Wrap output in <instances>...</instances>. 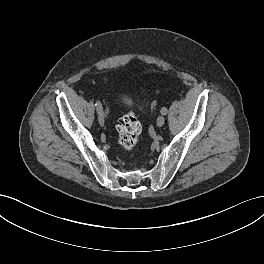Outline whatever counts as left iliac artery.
<instances>
[{
    "mask_svg": "<svg viewBox=\"0 0 264 264\" xmlns=\"http://www.w3.org/2000/svg\"><path fill=\"white\" fill-rule=\"evenodd\" d=\"M167 108L166 107H163L162 109H161V114L162 115H166L167 114Z\"/></svg>",
    "mask_w": 264,
    "mask_h": 264,
    "instance_id": "left-iliac-artery-1",
    "label": "left iliac artery"
}]
</instances>
